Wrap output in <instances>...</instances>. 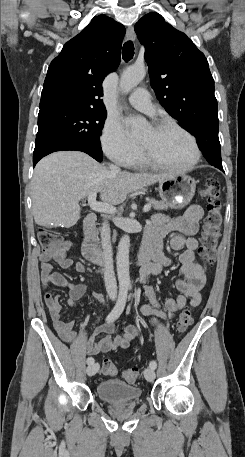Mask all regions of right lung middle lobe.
<instances>
[{
  "label": "right lung middle lobe",
  "mask_w": 245,
  "mask_h": 457,
  "mask_svg": "<svg viewBox=\"0 0 245 457\" xmlns=\"http://www.w3.org/2000/svg\"><path fill=\"white\" fill-rule=\"evenodd\" d=\"M106 117L104 108L85 105H63L39 112L35 149L56 143L73 144L101 162L100 134Z\"/></svg>",
  "instance_id": "obj_1"
}]
</instances>
